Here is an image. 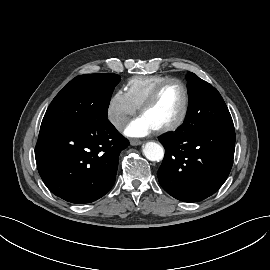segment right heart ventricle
<instances>
[{"mask_svg":"<svg viewBox=\"0 0 270 270\" xmlns=\"http://www.w3.org/2000/svg\"><path fill=\"white\" fill-rule=\"evenodd\" d=\"M170 78L164 75L135 76L125 83L124 89L131 102L139 109L151 91L159 83Z\"/></svg>","mask_w":270,"mask_h":270,"instance_id":"e07e8e85","label":"right heart ventricle"}]
</instances>
